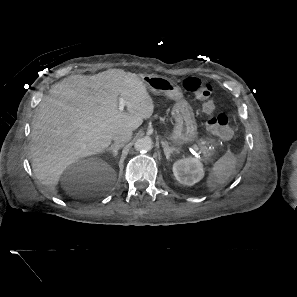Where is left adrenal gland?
Listing matches in <instances>:
<instances>
[{
    "instance_id": "1",
    "label": "left adrenal gland",
    "mask_w": 297,
    "mask_h": 297,
    "mask_svg": "<svg viewBox=\"0 0 297 297\" xmlns=\"http://www.w3.org/2000/svg\"><path fill=\"white\" fill-rule=\"evenodd\" d=\"M162 147L164 149V154L166 156V159L169 161L170 160V156L171 154H173V152H179V150L177 148H171L168 146V144L166 142H161Z\"/></svg>"
}]
</instances>
